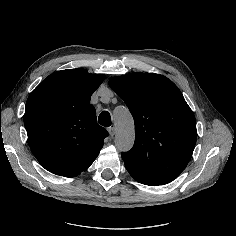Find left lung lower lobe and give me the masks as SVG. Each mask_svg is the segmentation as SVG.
I'll return each instance as SVG.
<instances>
[{
  "mask_svg": "<svg viewBox=\"0 0 236 236\" xmlns=\"http://www.w3.org/2000/svg\"><path fill=\"white\" fill-rule=\"evenodd\" d=\"M126 169L128 170V172L130 173V175L138 182L142 183V184H145V185H151V186H157V185H163V184H160L159 182L153 180L152 178L150 177H147L139 172H137L136 170L130 168V167H127L126 166Z\"/></svg>",
  "mask_w": 236,
  "mask_h": 236,
  "instance_id": "obj_1",
  "label": "left lung lower lobe"
}]
</instances>
